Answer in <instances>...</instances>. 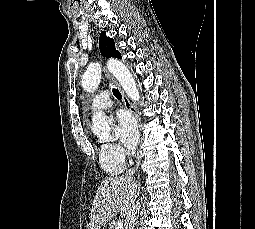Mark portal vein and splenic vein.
<instances>
[{"label":"portal vein and splenic vein","instance_id":"obj_1","mask_svg":"<svg viewBox=\"0 0 255 229\" xmlns=\"http://www.w3.org/2000/svg\"><path fill=\"white\" fill-rule=\"evenodd\" d=\"M115 229H123V222L121 220L117 221Z\"/></svg>","mask_w":255,"mask_h":229}]
</instances>
